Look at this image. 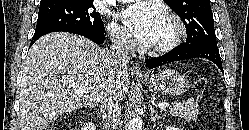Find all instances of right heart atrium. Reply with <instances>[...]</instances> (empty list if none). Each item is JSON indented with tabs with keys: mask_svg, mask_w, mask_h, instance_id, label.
<instances>
[{
	"mask_svg": "<svg viewBox=\"0 0 249 130\" xmlns=\"http://www.w3.org/2000/svg\"><path fill=\"white\" fill-rule=\"evenodd\" d=\"M108 33L112 39V41L124 48V49H130L133 46V40L131 36L126 32L125 29L118 26L114 21H110L107 25Z\"/></svg>",
	"mask_w": 249,
	"mask_h": 130,
	"instance_id": "right-heart-atrium-1",
	"label": "right heart atrium"
}]
</instances>
